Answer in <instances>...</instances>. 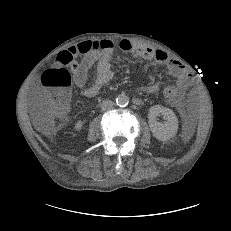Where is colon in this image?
<instances>
[{"instance_id": "1", "label": "colon", "mask_w": 231, "mask_h": 231, "mask_svg": "<svg viewBox=\"0 0 231 231\" xmlns=\"http://www.w3.org/2000/svg\"><path fill=\"white\" fill-rule=\"evenodd\" d=\"M63 56V53L58 56L59 63ZM41 81L48 103L45 118L51 125L57 126L62 122L63 116L69 108L71 74L64 68L48 69L42 74ZM163 91L167 100H174L179 95V88L171 82L164 83Z\"/></svg>"}]
</instances>
